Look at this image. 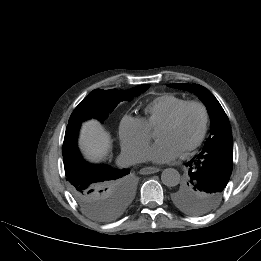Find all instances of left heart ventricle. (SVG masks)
I'll list each match as a JSON object with an SVG mask.
<instances>
[{
	"instance_id": "left-heart-ventricle-1",
	"label": "left heart ventricle",
	"mask_w": 261,
	"mask_h": 261,
	"mask_svg": "<svg viewBox=\"0 0 261 261\" xmlns=\"http://www.w3.org/2000/svg\"><path fill=\"white\" fill-rule=\"evenodd\" d=\"M202 121L201 109L198 106H190L175 125L160 127L156 132V138L157 140H169L181 153L199 135Z\"/></svg>"
}]
</instances>
